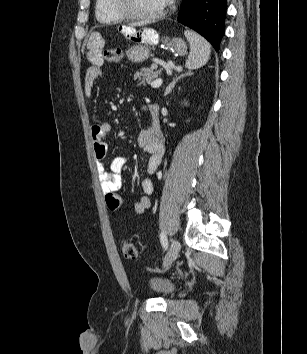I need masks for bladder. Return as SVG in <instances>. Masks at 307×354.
<instances>
[{
	"label": "bladder",
	"instance_id": "bladder-1",
	"mask_svg": "<svg viewBox=\"0 0 307 354\" xmlns=\"http://www.w3.org/2000/svg\"><path fill=\"white\" fill-rule=\"evenodd\" d=\"M147 285L155 295L160 297L170 296L176 291V284L173 281L157 275L150 276Z\"/></svg>",
	"mask_w": 307,
	"mask_h": 354
}]
</instances>
